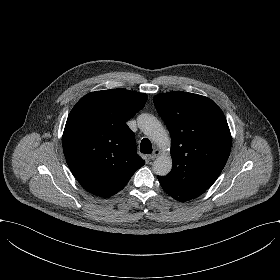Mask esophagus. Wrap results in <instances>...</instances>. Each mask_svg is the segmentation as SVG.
Segmentation results:
<instances>
[{
	"mask_svg": "<svg viewBox=\"0 0 280 280\" xmlns=\"http://www.w3.org/2000/svg\"><path fill=\"white\" fill-rule=\"evenodd\" d=\"M161 154V151L159 149H155L151 155L148 156L149 160H154Z\"/></svg>",
	"mask_w": 280,
	"mask_h": 280,
	"instance_id": "34e87169",
	"label": "esophagus"
}]
</instances>
